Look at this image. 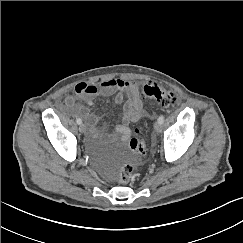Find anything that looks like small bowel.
<instances>
[{"instance_id": "small-bowel-1", "label": "small bowel", "mask_w": 243, "mask_h": 243, "mask_svg": "<svg viewBox=\"0 0 243 243\" xmlns=\"http://www.w3.org/2000/svg\"><path fill=\"white\" fill-rule=\"evenodd\" d=\"M97 96H113L116 105L123 104L121 123L113 127V132L122 140L130 136L129 123L136 122L145 116L141 100L139 86L135 82L125 79L109 78L103 80L99 85L80 82L75 86L74 94L66 96L60 103L63 109H73L76 113L85 117L94 131L98 122V116L91 113L87 107L80 105L79 100L88 106L94 103Z\"/></svg>"}]
</instances>
